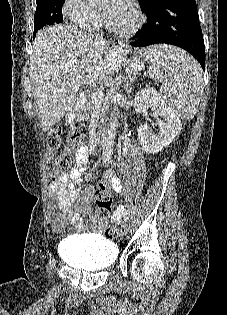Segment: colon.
I'll use <instances>...</instances> for the list:
<instances>
[{
  "label": "colon",
  "mask_w": 227,
  "mask_h": 315,
  "mask_svg": "<svg viewBox=\"0 0 227 315\" xmlns=\"http://www.w3.org/2000/svg\"><path fill=\"white\" fill-rule=\"evenodd\" d=\"M69 141L72 148L80 146L84 141V136L79 131H72L69 134ZM62 144V132L60 129H53L45 139V145L48 151V157L43 167V179L50 183L55 181L61 174L67 172L72 164V152H59ZM95 203L97 207L96 214L99 223L103 226H108L105 230V235L113 238L119 235V229L111 225V220L108 217L112 209V197L110 192L104 188H99L95 193Z\"/></svg>",
  "instance_id": "obj_1"
}]
</instances>
